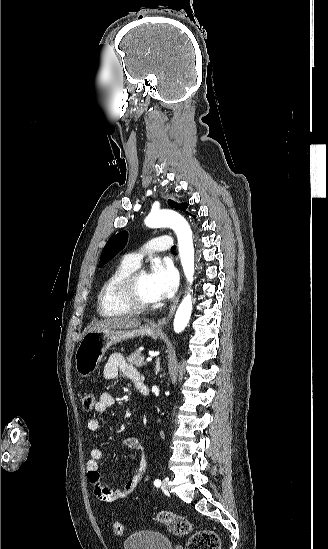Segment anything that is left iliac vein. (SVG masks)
Wrapping results in <instances>:
<instances>
[{"label": "left iliac vein", "mask_w": 328, "mask_h": 549, "mask_svg": "<svg viewBox=\"0 0 328 549\" xmlns=\"http://www.w3.org/2000/svg\"><path fill=\"white\" fill-rule=\"evenodd\" d=\"M167 478H165L162 482V485H161V489L163 492H167L168 491V484H167Z\"/></svg>", "instance_id": "obj_1"}]
</instances>
